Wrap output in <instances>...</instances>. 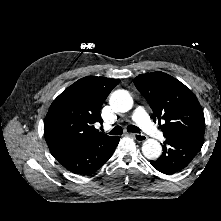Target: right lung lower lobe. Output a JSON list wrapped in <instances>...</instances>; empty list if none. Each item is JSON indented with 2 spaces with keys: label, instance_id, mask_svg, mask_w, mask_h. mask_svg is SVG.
Wrapping results in <instances>:
<instances>
[{
  "label": "right lung lower lobe",
  "instance_id": "1",
  "mask_svg": "<svg viewBox=\"0 0 221 221\" xmlns=\"http://www.w3.org/2000/svg\"><path fill=\"white\" fill-rule=\"evenodd\" d=\"M118 143L119 137H111L95 145L73 148L53 156L70 172L90 175L112 156Z\"/></svg>",
  "mask_w": 221,
  "mask_h": 221
}]
</instances>
